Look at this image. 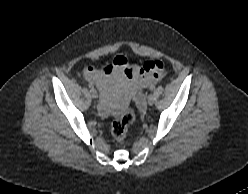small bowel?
<instances>
[{
  "label": "small bowel",
  "mask_w": 248,
  "mask_h": 194,
  "mask_svg": "<svg viewBox=\"0 0 248 194\" xmlns=\"http://www.w3.org/2000/svg\"><path fill=\"white\" fill-rule=\"evenodd\" d=\"M149 63L146 62L142 66L130 64L124 56L118 55L102 68L86 66L83 75L87 81L100 89L104 97L113 88L128 89L137 93L142 88L157 84L165 76L164 65L160 70H148L146 66ZM102 111L107 113L105 105L102 106Z\"/></svg>",
  "instance_id": "c3829d8e"
}]
</instances>
